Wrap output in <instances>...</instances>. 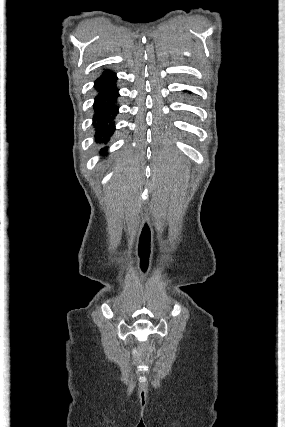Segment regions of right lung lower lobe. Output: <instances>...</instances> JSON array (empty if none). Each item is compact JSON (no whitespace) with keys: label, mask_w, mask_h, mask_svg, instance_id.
I'll use <instances>...</instances> for the list:
<instances>
[{"label":"right lung lower lobe","mask_w":285,"mask_h":427,"mask_svg":"<svg viewBox=\"0 0 285 427\" xmlns=\"http://www.w3.org/2000/svg\"><path fill=\"white\" fill-rule=\"evenodd\" d=\"M117 77L115 73L105 72L95 82L98 95L95 98L93 126L95 128V142L99 145L107 144L115 131V117L119 106L116 104L118 88H116ZM106 147L100 150L106 153Z\"/></svg>","instance_id":"right-lung-lower-lobe-1"}]
</instances>
